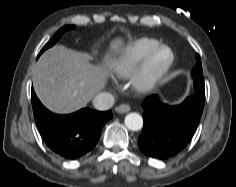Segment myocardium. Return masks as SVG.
Returning <instances> with one entry per match:
<instances>
[{
  "instance_id": "obj_1",
  "label": "myocardium",
  "mask_w": 236,
  "mask_h": 187,
  "mask_svg": "<svg viewBox=\"0 0 236 187\" xmlns=\"http://www.w3.org/2000/svg\"><path fill=\"white\" fill-rule=\"evenodd\" d=\"M163 51L168 53L167 58L161 62L157 61L159 54ZM175 60V55L168 45H158L141 62L131 78L133 89L140 94H148L156 90Z\"/></svg>"
}]
</instances>
